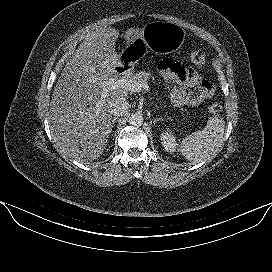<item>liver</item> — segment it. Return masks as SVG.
I'll return each instance as SVG.
<instances>
[{"instance_id":"6515ba94","label":"liver","mask_w":272,"mask_h":272,"mask_svg":"<svg viewBox=\"0 0 272 272\" xmlns=\"http://www.w3.org/2000/svg\"><path fill=\"white\" fill-rule=\"evenodd\" d=\"M143 33V28H130L123 35L130 46ZM119 31L104 27L90 32L65 65L50 102L53 139L63 153L78 161L98 159L107 147L112 130L111 105L126 99L128 91L108 89L115 68L122 66L115 51Z\"/></svg>"}]
</instances>
